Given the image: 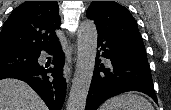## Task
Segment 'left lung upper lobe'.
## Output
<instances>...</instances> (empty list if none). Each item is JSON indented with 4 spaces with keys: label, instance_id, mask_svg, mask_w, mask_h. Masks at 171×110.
I'll use <instances>...</instances> for the list:
<instances>
[{
    "label": "left lung upper lobe",
    "instance_id": "left-lung-upper-lobe-1",
    "mask_svg": "<svg viewBox=\"0 0 171 110\" xmlns=\"http://www.w3.org/2000/svg\"><path fill=\"white\" fill-rule=\"evenodd\" d=\"M86 15L95 21L98 36L146 56L137 23L125 7L115 1H92Z\"/></svg>",
    "mask_w": 171,
    "mask_h": 110
}]
</instances>
